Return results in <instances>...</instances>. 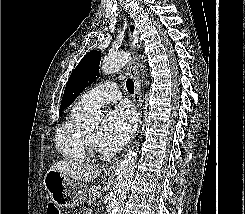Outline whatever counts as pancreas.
Wrapping results in <instances>:
<instances>
[{"instance_id":"1","label":"pancreas","mask_w":245,"mask_h":214,"mask_svg":"<svg viewBox=\"0 0 245 214\" xmlns=\"http://www.w3.org/2000/svg\"><path fill=\"white\" fill-rule=\"evenodd\" d=\"M99 187L96 185H93L92 187L89 188L88 190V204H95L96 203V196L99 193Z\"/></svg>"}]
</instances>
